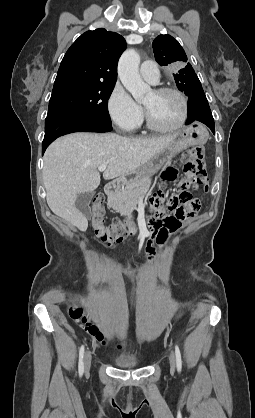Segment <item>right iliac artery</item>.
<instances>
[{
  "label": "right iliac artery",
  "mask_w": 255,
  "mask_h": 418,
  "mask_svg": "<svg viewBox=\"0 0 255 418\" xmlns=\"http://www.w3.org/2000/svg\"><path fill=\"white\" fill-rule=\"evenodd\" d=\"M84 345L81 346L80 350H79V364H78V370H79V375L82 376L83 372H84Z\"/></svg>",
  "instance_id": "82829eb1"
}]
</instances>
